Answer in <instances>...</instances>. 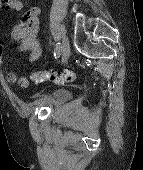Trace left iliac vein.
<instances>
[{
	"label": "left iliac vein",
	"instance_id": "left-iliac-vein-1",
	"mask_svg": "<svg viewBox=\"0 0 143 170\" xmlns=\"http://www.w3.org/2000/svg\"><path fill=\"white\" fill-rule=\"evenodd\" d=\"M71 55V49L69 46V41L67 38L63 40L62 44V56H61V62L64 64L68 61L69 57Z\"/></svg>",
	"mask_w": 143,
	"mask_h": 170
}]
</instances>
